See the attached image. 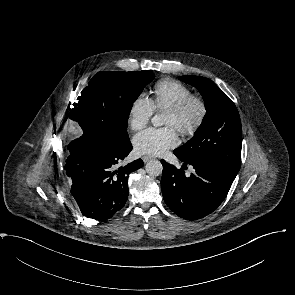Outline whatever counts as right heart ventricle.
Wrapping results in <instances>:
<instances>
[{
	"instance_id": "1",
	"label": "right heart ventricle",
	"mask_w": 295,
	"mask_h": 295,
	"mask_svg": "<svg viewBox=\"0 0 295 295\" xmlns=\"http://www.w3.org/2000/svg\"><path fill=\"white\" fill-rule=\"evenodd\" d=\"M192 95L186 84L174 79H162L153 87L151 103L154 110L167 111Z\"/></svg>"
}]
</instances>
